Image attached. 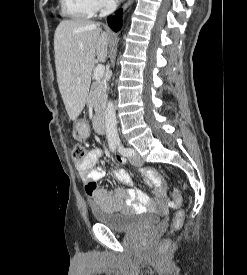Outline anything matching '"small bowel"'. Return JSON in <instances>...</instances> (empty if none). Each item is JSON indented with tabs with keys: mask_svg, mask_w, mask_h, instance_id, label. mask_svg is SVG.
Here are the masks:
<instances>
[{
	"mask_svg": "<svg viewBox=\"0 0 247 275\" xmlns=\"http://www.w3.org/2000/svg\"><path fill=\"white\" fill-rule=\"evenodd\" d=\"M102 152L92 149L85 159L77 163V170L85 184L94 183L96 189L89 197L94 204L106 212H124L130 210H151L157 208L166 211L171 206L167 198L163 180L155 169L140 168L139 172L145 176L147 183L153 188L154 199H151L143 190L133 187L132 177L124 170L115 171L117 179L125 186L109 191L98 187V182L104 177L105 172L97 166ZM119 163L125 159L117 157Z\"/></svg>",
	"mask_w": 247,
	"mask_h": 275,
	"instance_id": "small-bowel-1",
	"label": "small bowel"
}]
</instances>
